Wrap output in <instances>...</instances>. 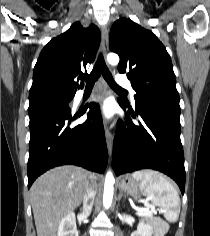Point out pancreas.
I'll return each instance as SVG.
<instances>
[{
    "label": "pancreas",
    "instance_id": "obj_1",
    "mask_svg": "<svg viewBox=\"0 0 210 236\" xmlns=\"http://www.w3.org/2000/svg\"><path fill=\"white\" fill-rule=\"evenodd\" d=\"M144 221L149 222L152 225H155V223L158 221L157 217H153V215H145L143 218Z\"/></svg>",
    "mask_w": 210,
    "mask_h": 236
}]
</instances>
